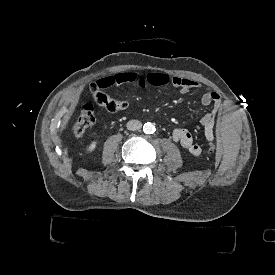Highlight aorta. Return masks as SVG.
<instances>
[{
  "mask_svg": "<svg viewBox=\"0 0 275 275\" xmlns=\"http://www.w3.org/2000/svg\"><path fill=\"white\" fill-rule=\"evenodd\" d=\"M143 131L146 134H152L155 132V126L151 122H147L143 126Z\"/></svg>",
  "mask_w": 275,
  "mask_h": 275,
  "instance_id": "obj_1",
  "label": "aorta"
}]
</instances>
